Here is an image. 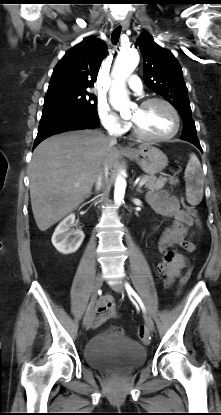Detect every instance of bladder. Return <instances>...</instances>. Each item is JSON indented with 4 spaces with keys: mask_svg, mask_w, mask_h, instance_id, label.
Wrapping results in <instances>:
<instances>
[{
    "mask_svg": "<svg viewBox=\"0 0 221 415\" xmlns=\"http://www.w3.org/2000/svg\"><path fill=\"white\" fill-rule=\"evenodd\" d=\"M84 357L90 366L104 372L129 371L145 362L147 352L131 338L100 333L87 343Z\"/></svg>",
    "mask_w": 221,
    "mask_h": 415,
    "instance_id": "31cf9c89",
    "label": "bladder"
}]
</instances>
